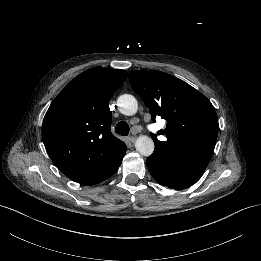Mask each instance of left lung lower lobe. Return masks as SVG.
I'll return each instance as SVG.
<instances>
[{
    "instance_id": "left-lung-lower-lobe-1",
    "label": "left lung lower lobe",
    "mask_w": 261,
    "mask_h": 261,
    "mask_svg": "<svg viewBox=\"0 0 261 261\" xmlns=\"http://www.w3.org/2000/svg\"><path fill=\"white\" fill-rule=\"evenodd\" d=\"M148 170L161 185L182 190L195 184L206 167L179 162L153 153L146 161Z\"/></svg>"
}]
</instances>
